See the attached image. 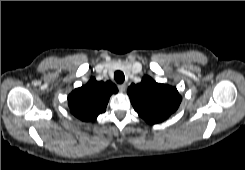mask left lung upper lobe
I'll list each match as a JSON object with an SVG mask.
<instances>
[{
    "label": "left lung upper lobe",
    "instance_id": "left-lung-upper-lobe-1",
    "mask_svg": "<svg viewBox=\"0 0 245 170\" xmlns=\"http://www.w3.org/2000/svg\"><path fill=\"white\" fill-rule=\"evenodd\" d=\"M128 95L135 111L151 124L167 119L181 102L175 87L157 83L149 76H145L139 84H131Z\"/></svg>",
    "mask_w": 245,
    "mask_h": 170
}]
</instances>
